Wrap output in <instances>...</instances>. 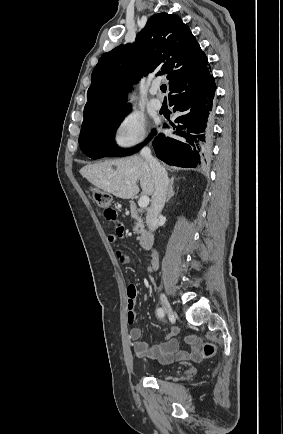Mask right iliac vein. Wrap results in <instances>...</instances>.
I'll return each mask as SVG.
<instances>
[{
  "label": "right iliac vein",
  "mask_w": 283,
  "mask_h": 434,
  "mask_svg": "<svg viewBox=\"0 0 283 434\" xmlns=\"http://www.w3.org/2000/svg\"><path fill=\"white\" fill-rule=\"evenodd\" d=\"M160 302H161L163 311L168 316H174L175 315L169 301L167 300V298L163 294H160Z\"/></svg>",
  "instance_id": "1"
}]
</instances>
